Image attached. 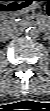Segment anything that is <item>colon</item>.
<instances>
[{
  "label": "colon",
  "mask_w": 50,
  "mask_h": 111,
  "mask_svg": "<svg viewBox=\"0 0 50 111\" xmlns=\"http://www.w3.org/2000/svg\"><path fill=\"white\" fill-rule=\"evenodd\" d=\"M44 10L47 14L50 13V5L49 4H46L45 7H44Z\"/></svg>",
  "instance_id": "obj_1"
}]
</instances>
